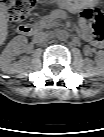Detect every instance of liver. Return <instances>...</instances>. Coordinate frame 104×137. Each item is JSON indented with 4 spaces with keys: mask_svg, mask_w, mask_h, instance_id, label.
I'll use <instances>...</instances> for the list:
<instances>
[{
    "mask_svg": "<svg viewBox=\"0 0 104 137\" xmlns=\"http://www.w3.org/2000/svg\"><path fill=\"white\" fill-rule=\"evenodd\" d=\"M7 20L5 18V12L4 10L1 11L0 15V38L1 41H4L7 36Z\"/></svg>",
    "mask_w": 104,
    "mask_h": 137,
    "instance_id": "obj_1",
    "label": "liver"
}]
</instances>
